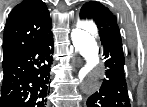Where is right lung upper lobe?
I'll list each match as a JSON object with an SVG mask.
<instances>
[{
    "instance_id": "cb5924a9",
    "label": "right lung upper lobe",
    "mask_w": 147,
    "mask_h": 107,
    "mask_svg": "<svg viewBox=\"0 0 147 107\" xmlns=\"http://www.w3.org/2000/svg\"><path fill=\"white\" fill-rule=\"evenodd\" d=\"M49 11L42 0H24L8 17L3 37V63L45 39L51 32Z\"/></svg>"
}]
</instances>
